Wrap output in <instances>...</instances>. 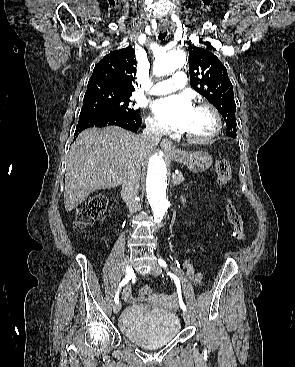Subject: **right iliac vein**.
Here are the masks:
<instances>
[{
    "mask_svg": "<svg viewBox=\"0 0 295 367\" xmlns=\"http://www.w3.org/2000/svg\"><path fill=\"white\" fill-rule=\"evenodd\" d=\"M130 265V256L129 255H126L125 258H124V267H129ZM126 271V270H125ZM121 309V303H115L114 306H113V311L115 314H117Z\"/></svg>",
    "mask_w": 295,
    "mask_h": 367,
    "instance_id": "right-iliac-vein-1",
    "label": "right iliac vein"
}]
</instances>
